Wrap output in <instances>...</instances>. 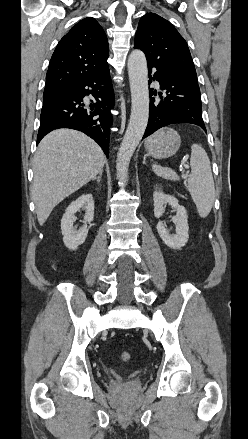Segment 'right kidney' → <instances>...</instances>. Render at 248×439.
Segmentation results:
<instances>
[{
  "label": "right kidney",
  "mask_w": 248,
  "mask_h": 439,
  "mask_svg": "<svg viewBox=\"0 0 248 439\" xmlns=\"http://www.w3.org/2000/svg\"><path fill=\"white\" fill-rule=\"evenodd\" d=\"M81 208L85 209L84 226L78 231L73 227L76 220L75 213ZM94 218V200L92 194H83L75 201H73L66 209L65 214L61 220V230L63 235L64 245L70 250H76L81 244L85 242L88 234L89 224Z\"/></svg>",
  "instance_id": "obj_1"
}]
</instances>
